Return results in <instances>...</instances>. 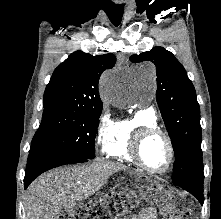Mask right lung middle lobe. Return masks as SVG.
<instances>
[{"mask_svg": "<svg viewBox=\"0 0 221 219\" xmlns=\"http://www.w3.org/2000/svg\"><path fill=\"white\" fill-rule=\"evenodd\" d=\"M101 111L102 108L44 106L42 121L33 137L30 151L46 147L73 157L95 158V136Z\"/></svg>", "mask_w": 221, "mask_h": 219, "instance_id": "dd1d6c3e", "label": "right lung middle lobe"}]
</instances>
